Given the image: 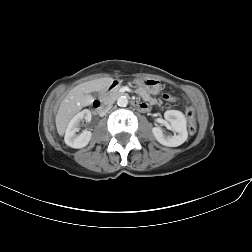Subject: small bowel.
Wrapping results in <instances>:
<instances>
[{"label": "small bowel", "instance_id": "small-bowel-1", "mask_svg": "<svg viewBox=\"0 0 252 252\" xmlns=\"http://www.w3.org/2000/svg\"><path fill=\"white\" fill-rule=\"evenodd\" d=\"M142 105H143V111H146L147 109H148V104L147 103H142Z\"/></svg>", "mask_w": 252, "mask_h": 252}]
</instances>
